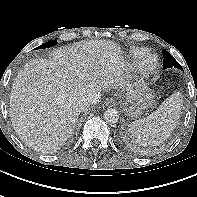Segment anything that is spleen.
Instances as JSON below:
<instances>
[{
  "label": "spleen",
  "instance_id": "obj_1",
  "mask_svg": "<svg viewBox=\"0 0 197 197\" xmlns=\"http://www.w3.org/2000/svg\"><path fill=\"white\" fill-rule=\"evenodd\" d=\"M182 107V94L174 92L149 116L133 121L129 125V132L138 144L158 145L176 128Z\"/></svg>",
  "mask_w": 197,
  "mask_h": 197
}]
</instances>
